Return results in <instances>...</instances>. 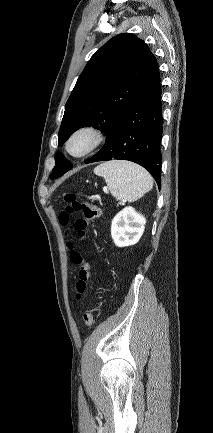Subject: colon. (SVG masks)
I'll return each mask as SVG.
<instances>
[{
	"mask_svg": "<svg viewBox=\"0 0 213 433\" xmlns=\"http://www.w3.org/2000/svg\"><path fill=\"white\" fill-rule=\"evenodd\" d=\"M64 200L66 207L59 216L60 223L66 225L71 213L81 211L82 217L75 222L74 228L79 237L86 238L90 224L101 214L99 207L94 203L79 198L73 192H67L64 196ZM68 246L70 249L73 248L72 243H68ZM71 259L74 264L79 266L78 280L76 282V297L79 298L86 289L87 281L90 277V269L79 252L72 251ZM102 291L105 292V289L102 288ZM83 321L86 326H91L93 323V313L91 311L85 313L83 315Z\"/></svg>",
	"mask_w": 213,
	"mask_h": 433,
	"instance_id": "5ec220e1",
	"label": "colon"
}]
</instances>
